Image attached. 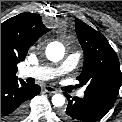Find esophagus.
I'll list each match as a JSON object with an SVG mask.
<instances>
[{
	"label": "esophagus",
	"mask_w": 122,
	"mask_h": 122,
	"mask_svg": "<svg viewBox=\"0 0 122 122\" xmlns=\"http://www.w3.org/2000/svg\"><path fill=\"white\" fill-rule=\"evenodd\" d=\"M44 90H45V92H47L51 95L57 92V90L52 86H45Z\"/></svg>",
	"instance_id": "obj_1"
}]
</instances>
